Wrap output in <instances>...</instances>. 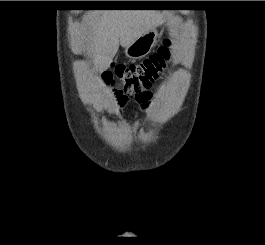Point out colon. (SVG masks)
<instances>
[{
	"label": "colon",
	"mask_w": 265,
	"mask_h": 245,
	"mask_svg": "<svg viewBox=\"0 0 265 245\" xmlns=\"http://www.w3.org/2000/svg\"><path fill=\"white\" fill-rule=\"evenodd\" d=\"M170 45L171 40L165 38L159 50L143 61L136 64H112L102 74L116 105L124 106L129 98L137 97L142 107L146 106L148 97L142 95L164 74L170 62Z\"/></svg>",
	"instance_id": "obj_1"
}]
</instances>
